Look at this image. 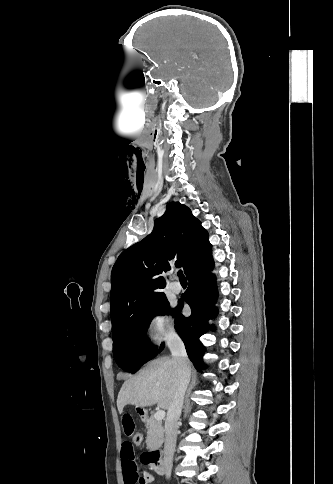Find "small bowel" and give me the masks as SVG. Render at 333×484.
I'll use <instances>...</instances> for the list:
<instances>
[{"label":"small bowel","mask_w":333,"mask_h":484,"mask_svg":"<svg viewBox=\"0 0 333 484\" xmlns=\"http://www.w3.org/2000/svg\"><path fill=\"white\" fill-rule=\"evenodd\" d=\"M121 424L123 432L127 437L134 436L136 433V424L131 414L124 413L121 419ZM121 465L125 484H150L153 481V476L149 472L143 471L139 474L137 463L135 461L134 448L129 441H125L122 444Z\"/></svg>","instance_id":"small-bowel-1"}]
</instances>
